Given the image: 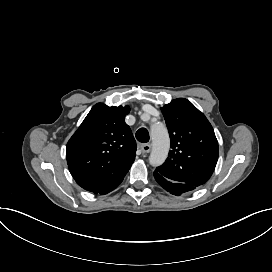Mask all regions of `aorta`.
Wrapping results in <instances>:
<instances>
[{
  "label": "aorta",
  "instance_id": "aorta-1",
  "mask_svg": "<svg viewBox=\"0 0 272 272\" xmlns=\"http://www.w3.org/2000/svg\"><path fill=\"white\" fill-rule=\"evenodd\" d=\"M151 137L153 147L150 164L160 165L165 161L169 151V137L164 125L162 124L160 128L152 127Z\"/></svg>",
  "mask_w": 272,
  "mask_h": 272
}]
</instances>
